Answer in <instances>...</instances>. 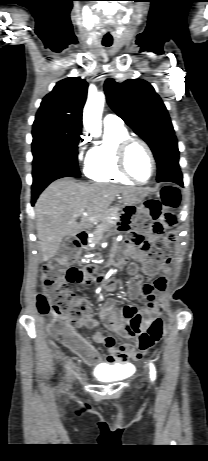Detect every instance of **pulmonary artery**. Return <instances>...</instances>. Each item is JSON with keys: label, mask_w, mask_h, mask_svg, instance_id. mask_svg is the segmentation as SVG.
I'll return each mask as SVG.
<instances>
[{"label": "pulmonary artery", "mask_w": 208, "mask_h": 461, "mask_svg": "<svg viewBox=\"0 0 208 461\" xmlns=\"http://www.w3.org/2000/svg\"><path fill=\"white\" fill-rule=\"evenodd\" d=\"M104 125L107 127H121L123 126V121L115 114H107L104 117Z\"/></svg>", "instance_id": "pulmonary-artery-1"}]
</instances>
